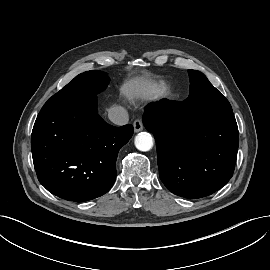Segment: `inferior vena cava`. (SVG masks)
I'll list each match as a JSON object with an SVG mask.
<instances>
[{
    "instance_id": "inferior-vena-cava-1",
    "label": "inferior vena cava",
    "mask_w": 270,
    "mask_h": 270,
    "mask_svg": "<svg viewBox=\"0 0 270 270\" xmlns=\"http://www.w3.org/2000/svg\"><path fill=\"white\" fill-rule=\"evenodd\" d=\"M108 118L116 125L122 126L128 123L129 115L124 107H113L108 111Z\"/></svg>"
}]
</instances>
